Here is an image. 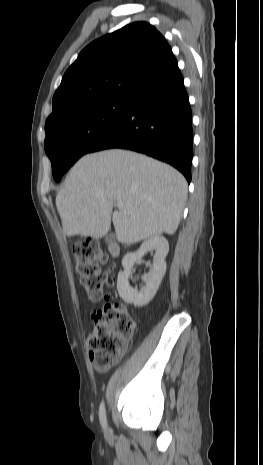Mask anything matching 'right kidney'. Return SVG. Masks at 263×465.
<instances>
[{"instance_id":"right-kidney-1","label":"right kidney","mask_w":263,"mask_h":465,"mask_svg":"<svg viewBox=\"0 0 263 465\" xmlns=\"http://www.w3.org/2000/svg\"><path fill=\"white\" fill-rule=\"evenodd\" d=\"M153 250H155L153 264H148L150 270L143 276L145 285L138 291L137 288H132L129 284L131 268L136 261L141 260L147 252ZM168 251L167 239L158 235L144 241L136 252H129L123 257L122 266L124 271L118 274L117 290L119 296L126 303L143 306L153 299L166 272L165 258Z\"/></svg>"}]
</instances>
